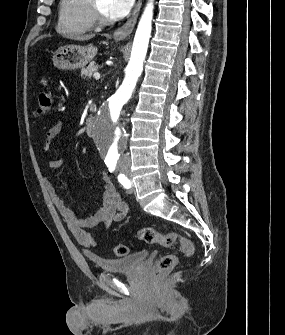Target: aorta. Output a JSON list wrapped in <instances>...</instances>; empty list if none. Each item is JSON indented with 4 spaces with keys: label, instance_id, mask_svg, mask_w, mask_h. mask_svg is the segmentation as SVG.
Wrapping results in <instances>:
<instances>
[{
    "label": "aorta",
    "instance_id": "obj_1",
    "mask_svg": "<svg viewBox=\"0 0 285 335\" xmlns=\"http://www.w3.org/2000/svg\"><path fill=\"white\" fill-rule=\"evenodd\" d=\"M152 18L153 0H150L136 30L130 60L124 70L125 78L119 90H111L110 100H103V105L99 106L100 112L97 115L96 125L89 127V134H94V137H97L95 147H103L101 155L105 156L106 160H117L120 152H124V147H126V137H129V130H126L125 125H119L117 114L122 111L124 104L129 102L131 97H134L137 80L143 72Z\"/></svg>",
    "mask_w": 285,
    "mask_h": 335
}]
</instances>
